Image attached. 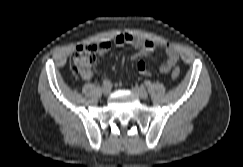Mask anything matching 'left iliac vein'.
<instances>
[{
  "label": "left iliac vein",
  "mask_w": 243,
  "mask_h": 167,
  "mask_svg": "<svg viewBox=\"0 0 243 167\" xmlns=\"http://www.w3.org/2000/svg\"><path fill=\"white\" fill-rule=\"evenodd\" d=\"M133 91L138 97L142 99H146L148 97V92L144 87H135Z\"/></svg>",
  "instance_id": "1"
}]
</instances>
